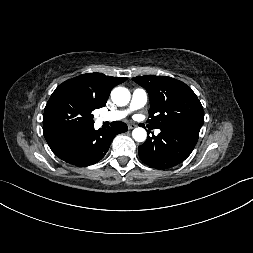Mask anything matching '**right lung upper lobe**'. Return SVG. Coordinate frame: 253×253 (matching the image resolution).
Returning a JSON list of instances; mask_svg holds the SVG:
<instances>
[{
  "label": "right lung upper lobe",
  "instance_id": "right-lung-upper-lobe-1",
  "mask_svg": "<svg viewBox=\"0 0 253 253\" xmlns=\"http://www.w3.org/2000/svg\"><path fill=\"white\" fill-rule=\"evenodd\" d=\"M126 79V77H111L101 73H87L65 82L75 85L96 105L103 107L111 90Z\"/></svg>",
  "mask_w": 253,
  "mask_h": 253
}]
</instances>
